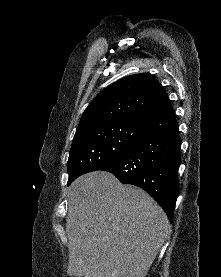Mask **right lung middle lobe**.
Segmentation results:
<instances>
[{
    "instance_id": "right-lung-middle-lobe-1",
    "label": "right lung middle lobe",
    "mask_w": 221,
    "mask_h": 277,
    "mask_svg": "<svg viewBox=\"0 0 221 277\" xmlns=\"http://www.w3.org/2000/svg\"><path fill=\"white\" fill-rule=\"evenodd\" d=\"M139 133L137 121L100 125L76 133L67 163L68 185L78 176L123 157Z\"/></svg>"
}]
</instances>
